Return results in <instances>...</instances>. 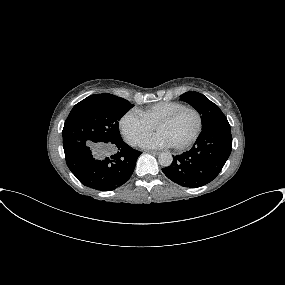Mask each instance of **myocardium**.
Returning a JSON list of instances; mask_svg holds the SVG:
<instances>
[{"label": "myocardium", "instance_id": "1", "mask_svg": "<svg viewBox=\"0 0 285 285\" xmlns=\"http://www.w3.org/2000/svg\"><path fill=\"white\" fill-rule=\"evenodd\" d=\"M184 111H192L195 113L196 117H197V128L195 130V132L193 133V135L184 143H182L179 146H172V148H174L175 150H184L188 147H190L193 143L196 142V140L198 139V137L200 136L202 130H203V117L201 112L191 106H183L171 113H169L168 115L164 116L163 118H161L156 125L154 126V129L157 130L159 126L167 124L172 122L179 114H181Z\"/></svg>", "mask_w": 285, "mask_h": 285}]
</instances>
